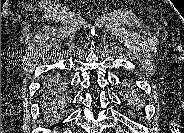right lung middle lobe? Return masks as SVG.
Listing matches in <instances>:
<instances>
[{"label":"right lung middle lobe","instance_id":"obj_1","mask_svg":"<svg viewBox=\"0 0 184 133\" xmlns=\"http://www.w3.org/2000/svg\"><path fill=\"white\" fill-rule=\"evenodd\" d=\"M62 85L61 82L57 78H51L46 82V87L44 88L42 98V106L44 109L48 108L52 111L55 106L58 104L59 97L57 96L58 91L61 90Z\"/></svg>","mask_w":184,"mask_h":133}]
</instances>
